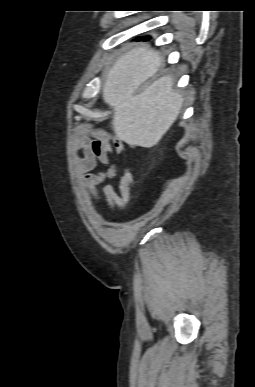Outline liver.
<instances>
[{
  "label": "liver",
  "instance_id": "1",
  "mask_svg": "<svg viewBox=\"0 0 255 387\" xmlns=\"http://www.w3.org/2000/svg\"><path fill=\"white\" fill-rule=\"evenodd\" d=\"M162 62L159 53L148 45L133 48L117 59L103 82L102 97L113 109L111 124L115 136L131 146H155L183 106V97L174 89L170 75L136 94Z\"/></svg>",
  "mask_w": 255,
  "mask_h": 387
}]
</instances>
